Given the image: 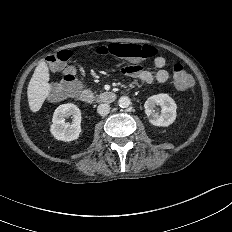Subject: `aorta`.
<instances>
[{"label": "aorta", "instance_id": "1", "mask_svg": "<svg viewBox=\"0 0 232 232\" xmlns=\"http://www.w3.org/2000/svg\"><path fill=\"white\" fill-rule=\"evenodd\" d=\"M118 104L121 108H127L131 104L130 98L127 96H122L119 98Z\"/></svg>", "mask_w": 232, "mask_h": 232}]
</instances>
